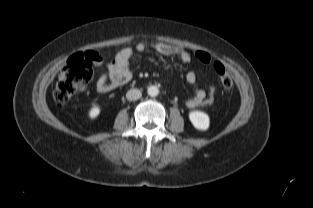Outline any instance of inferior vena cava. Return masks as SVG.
<instances>
[{
    "mask_svg": "<svg viewBox=\"0 0 313 208\" xmlns=\"http://www.w3.org/2000/svg\"><path fill=\"white\" fill-rule=\"evenodd\" d=\"M142 93L139 89H130L127 93H126V98L129 101H135L138 100L139 98H141Z\"/></svg>",
    "mask_w": 313,
    "mask_h": 208,
    "instance_id": "602c4592",
    "label": "inferior vena cava"
}]
</instances>
